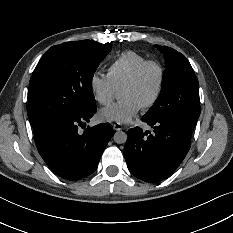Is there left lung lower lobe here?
<instances>
[{
    "mask_svg": "<svg viewBox=\"0 0 233 233\" xmlns=\"http://www.w3.org/2000/svg\"><path fill=\"white\" fill-rule=\"evenodd\" d=\"M142 121L154 131L139 127L128 131L124 157L130 172L145 182L155 183L170 176L185 158L196 125L190 120ZM150 133V134H148Z\"/></svg>",
    "mask_w": 233,
    "mask_h": 233,
    "instance_id": "0a47b994",
    "label": "left lung lower lobe"
}]
</instances>
